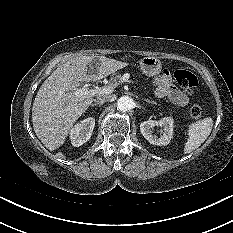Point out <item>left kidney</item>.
<instances>
[{
    "instance_id": "left-kidney-1",
    "label": "left kidney",
    "mask_w": 233,
    "mask_h": 233,
    "mask_svg": "<svg viewBox=\"0 0 233 233\" xmlns=\"http://www.w3.org/2000/svg\"><path fill=\"white\" fill-rule=\"evenodd\" d=\"M173 124L174 120L171 117H164L160 121L148 120L140 124V130L144 138L154 145H168L173 137ZM163 127L164 133L161 137H158L154 133V127Z\"/></svg>"
}]
</instances>
